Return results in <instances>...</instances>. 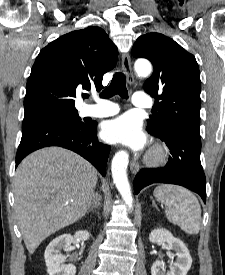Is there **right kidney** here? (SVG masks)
I'll return each instance as SVG.
<instances>
[{"label":"right kidney","mask_w":225,"mask_h":275,"mask_svg":"<svg viewBox=\"0 0 225 275\" xmlns=\"http://www.w3.org/2000/svg\"><path fill=\"white\" fill-rule=\"evenodd\" d=\"M90 237L87 231H78L74 236L63 234L52 240L47 246L44 258L49 275H75L76 267L73 264L64 265V256L61 250L71 246L74 239L86 241Z\"/></svg>","instance_id":"obj_1"}]
</instances>
